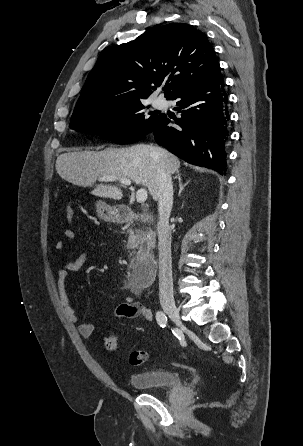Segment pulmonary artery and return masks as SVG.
<instances>
[{"label":"pulmonary artery","instance_id":"pulmonary-artery-1","mask_svg":"<svg viewBox=\"0 0 303 446\" xmlns=\"http://www.w3.org/2000/svg\"><path fill=\"white\" fill-rule=\"evenodd\" d=\"M155 106L156 107H163L164 106V102L162 100H157V101H155Z\"/></svg>","mask_w":303,"mask_h":446}]
</instances>
